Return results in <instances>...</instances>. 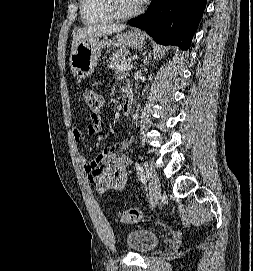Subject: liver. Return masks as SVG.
<instances>
[{
    "label": "liver",
    "mask_w": 253,
    "mask_h": 271,
    "mask_svg": "<svg viewBox=\"0 0 253 271\" xmlns=\"http://www.w3.org/2000/svg\"><path fill=\"white\" fill-rule=\"evenodd\" d=\"M126 28L125 25H93L79 29L73 35L72 50L75 45L90 37H99L119 33Z\"/></svg>",
    "instance_id": "6515ba94"
}]
</instances>
